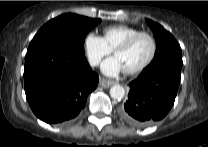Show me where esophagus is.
<instances>
[{"mask_svg":"<svg viewBox=\"0 0 208 147\" xmlns=\"http://www.w3.org/2000/svg\"><path fill=\"white\" fill-rule=\"evenodd\" d=\"M115 82L111 81V80H107L105 78H101L100 79V85L105 87V88H109L110 86H112Z\"/></svg>","mask_w":208,"mask_h":147,"instance_id":"esophagus-1","label":"esophagus"}]
</instances>
